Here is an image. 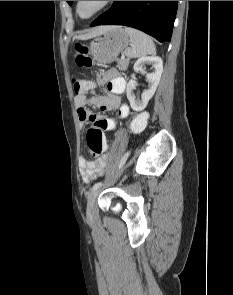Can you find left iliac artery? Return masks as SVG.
<instances>
[{
    "label": "left iliac artery",
    "mask_w": 233,
    "mask_h": 295,
    "mask_svg": "<svg viewBox=\"0 0 233 295\" xmlns=\"http://www.w3.org/2000/svg\"><path fill=\"white\" fill-rule=\"evenodd\" d=\"M131 151L129 150L128 152H126L123 156H122V161L120 162V165L118 166L120 169H122L124 167V165L127 163L128 161V157L131 155ZM102 186V182H98L96 184H94V186L92 187V190H96L98 188H100Z\"/></svg>",
    "instance_id": "1"
}]
</instances>
